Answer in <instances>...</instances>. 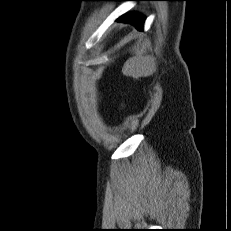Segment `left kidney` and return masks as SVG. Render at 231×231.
I'll return each instance as SVG.
<instances>
[{"instance_id":"left-kidney-1","label":"left kidney","mask_w":231,"mask_h":231,"mask_svg":"<svg viewBox=\"0 0 231 231\" xmlns=\"http://www.w3.org/2000/svg\"><path fill=\"white\" fill-rule=\"evenodd\" d=\"M123 74L133 78L147 77L155 71V62L150 56H136L126 61Z\"/></svg>"}]
</instances>
